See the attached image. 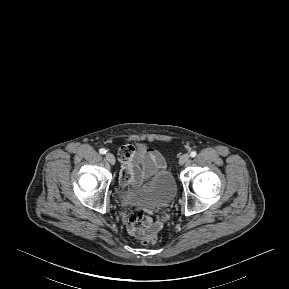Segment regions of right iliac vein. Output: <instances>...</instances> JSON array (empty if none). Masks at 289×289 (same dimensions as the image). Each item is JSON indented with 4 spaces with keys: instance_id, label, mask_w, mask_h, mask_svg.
Returning a JSON list of instances; mask_svg holds the SVG:
<instances>
[{
    "instance_id": "obj_1",
    "label": "right iliac vein",
    "mask_w": 289,
    "mask_h": 289,
    "mask_svg": "<svg viewBox=\"0 0 289 289\" xmlns=\"http://www.w3.org/2000/svg\"><path fill=\"white\" fill-rule=\"evenodd\" d=\"M106 159L112 165H114L115 162H116L115 157H114V155L112 153H107L106 154Z\"/></svg>"
}]
</instances>
